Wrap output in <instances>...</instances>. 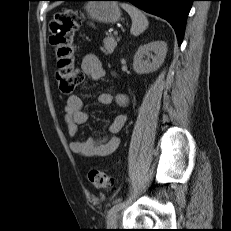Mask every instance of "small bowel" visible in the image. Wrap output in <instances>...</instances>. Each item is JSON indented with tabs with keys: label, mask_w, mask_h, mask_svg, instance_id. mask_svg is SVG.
I'll list each match as a JSON object with an SVG mask.
<instances>
[{
	"label": "small bowel",
	"mask_w": 231,
	"mask_h": 231,
	"mask_svg": "<svg viewBox=\"0 0 231 231\" xmlns=\"http://www.w3.org/2000/svg\"><path fill=\"white\" fill-rule=\"evenodd\" d=\"M82 70L93 80H99L105 74V70L99 58L93 54H87L82 59ZM99 102L103 105H109L113 101V97L109 93H101ZM115 101L119 106H126L128 97L119 94L115 97ZM65 122L67 126V134L70 138H74L78 133V127L88 120V114L84 110L83 100L76 94L70 95L64 107ZM127 121L126 114H120L109 125V135L107 137H89L86 140H75L70 142V150L81 157L88 158H104L111 155L120 145L118 133Z\"/></svg>",
	"instance_id": "c3829d8e"
}]
</instances>
